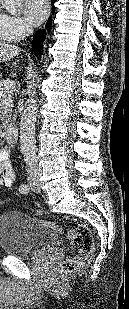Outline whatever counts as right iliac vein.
Segmentation results:
<instances>
[{"label":"right iliac vein","mask_w":129,"mask_h":309,"mask_svg":"<svg viewBox=\"0 0 129 309\" xmlns=\"http://www.w3.org/2000/svg\"><path fill=\"white\" fill-rule=\"evenodd\" d=\"M36 182H37V180H36L35 178H31V179L29 180L30 185H33V184H35Z\"/></svg>","instance_id":"63e3f726"}]
</instances>
